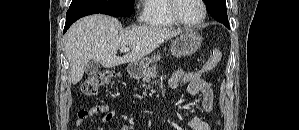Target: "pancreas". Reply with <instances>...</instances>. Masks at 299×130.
Instances as JSON below:
<instances>
[{"instance_id":"1","label":"pancreas","mask_w":299,"mask_h":130,"mask_svg":"<svg viewBox=\"0 0 299 130\" xmlns=\"http://www.w3.org/2000/svg\"><path fill=\"white\" fill-rule=\"evenodd\" d=\"M157 72H158L157 65H154L151 68L144 70V72L141 75L143 83H144V87L149 88L150 80H151V78H155V76L157 75Z\"/></svg>"}]
</instances>
